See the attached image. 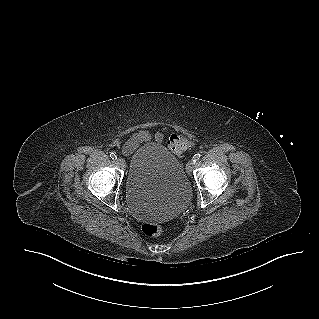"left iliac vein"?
Segmentation results:
<instances>
[{
  "instance_id": "left-iliac-vein-1",
  "label": "left iliac vein",
  "mask_w": 319,
  "mask_h": 319,
  "mask_svg": "<svg viewBox=\"0 0 319 319\" xmlns=\"http://www.w3.org/2000/svg\"><path fill=\"white\" fill-rule=\"evenodd\" d=\"M194 165H195V161H193V159L190 160V161L187 163V165H186V172H187L188 175H191L192 170H193V168H194Z\"/></svg>"
}]
</instances>
